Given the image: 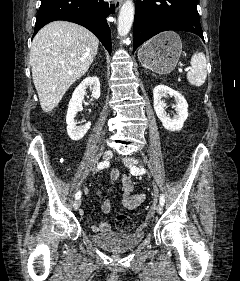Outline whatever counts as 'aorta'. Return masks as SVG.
Wrapping results in <instances>:
<instances>
[{
	"label": "aorta",
	"mask_w": 240,
	"mask_h": 281,
	"mask_svg": "<svg viewBox=\"0 0 240 281\" xmlns=\"http://www.w3.org/2000/svg\"><path fill=\"white\" fill-rule=\"evenodd\" d=\"M135 8L132 0H126L119 11L117 31L120 37H125L129 33L133 20Z\"/></svg>",
	"instance_id": "obj_1"
}]
</instances>
